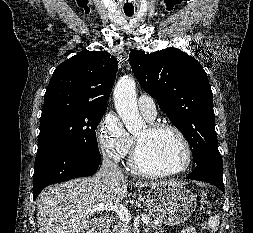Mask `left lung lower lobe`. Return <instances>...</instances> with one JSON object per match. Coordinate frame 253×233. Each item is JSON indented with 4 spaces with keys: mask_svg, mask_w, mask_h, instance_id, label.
Segmentation results:
<instances>
[{
    "mask_svg": "<svg viewBox=\"0 0 253 233\" xmlns=\"http://www.w3.org/2000/svg\"><path fill=\"white\" fill-rule=\"evenodd\" d=\"M222 175L223 164H218L212 161H204L196 165L191 174L187 176V179L209 182L224 192Z\"/></svg>",
    "mask_w": 253,
    "mask_h": 233,
    "instance_id": "obj_1",
    "label": "left lung lower lobe"
}]
</instances>
